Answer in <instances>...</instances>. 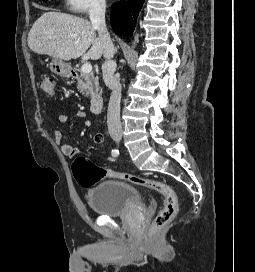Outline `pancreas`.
Here are the masks:
<instances>
[{
  "label": "pancreas",
  "mask_w": 255,
  "mask_h": 272,
  "mask_svg": "<svg viewBox=\"0 0 255 272\" xmlns=\"http://www.w3.org/2000/svg\"><path fill=\"white\" fill-rule=\"evenodd\" d=\"M80 76L84 81H78L77 88L85 94V96H89L93 94L95 91L99 89V82L97 77L94 76L93 73L87 74L84 72H80Z\"/></svg>",
  "instance_id": "pancreas-1"
}]
</instances>
